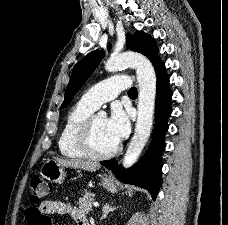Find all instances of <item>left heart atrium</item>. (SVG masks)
Masks as SVG:
<instances>
[{"label": "left heart atrium", "mask_w": 228, "mask_h": 225, "mask_svg": "<svg viewBox=\"0 0 228 225\" xmlns=\"http://www.w3.org/2000/svg\"><path fill=\"white\" fill-rule=\"evenodd\" d=\"M129 130L130 123L127 113L120 106L113 107L107 119L109 136L118 143L128 135Z\"/></svg>", "instance_id": "left-heart-atrium-1"}]
</instances>
